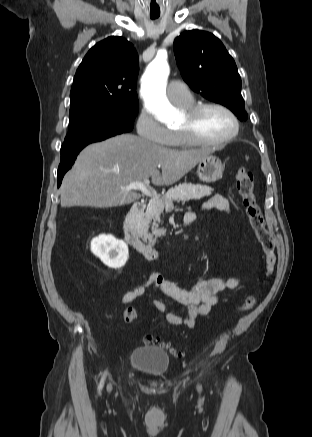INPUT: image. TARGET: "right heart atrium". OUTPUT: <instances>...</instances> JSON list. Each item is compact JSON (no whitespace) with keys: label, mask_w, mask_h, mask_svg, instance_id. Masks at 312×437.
<instances>
[{"label":"right heart atrium","mask_w":312,"mask_h":437,"mask_svg":"<svg viewBox=\"0 0 312 437\" xmlns=\"http://www.w3.org/2000/svg\"><path fill=\"white\" fill-rule=\"evenodd\" d=\"M136 128L140 137L154 144L168 145L172 138V132L146 109L141 110Z\"/></svg>","instance_id":"obj_1"}]
</instances>
